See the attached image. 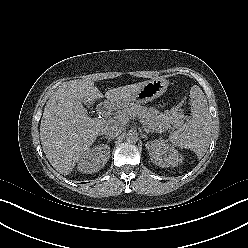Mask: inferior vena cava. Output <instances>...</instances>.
<instances>
[{"mask_svg": "<svg viewBox=\"0 0 248 248\" xmlns=\"http://www.w3.org/2000/svg\"><path fill=\"white\" fill-rule=\"evenodd\" d=\"M123 131L122 126L118 125V124H112V125H108L103 129V133L111 138H115L118 135H120Z\"/></svg>", "mask_w": 248, "mask_h": 248, "instance_id": "1", "label": "inferior vena cava"}]
</instances>
